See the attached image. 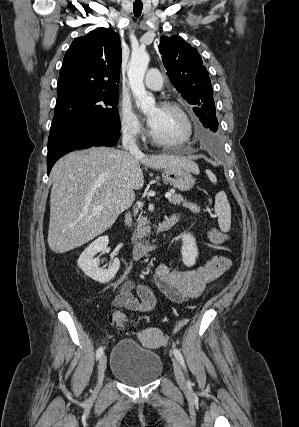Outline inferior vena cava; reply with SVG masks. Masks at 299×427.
Here are the masks:
<instances>
[{"label":"inferior vena cava","mask_w":299,"mask_h":427,"mask_svg":"<svg viewBox=\"0 0 299 427\" xmlns=\"http://www.w3.org/2000/svg\"><path fill=\"white\" fill-rule=\"evenodd\" d=\"M122 146L126 151H129L131 154L137 155L141 153L136 144L135 136L129 129L123 130ZM125 223L126 225L131 226L132 218L130 212L126 213L125 215Z\"/></svg>","instance_id":"inferior-vena-cava-1"}]
</instances>
